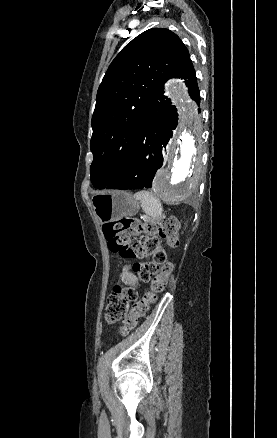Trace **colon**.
<instances>
[{
  "mask_svg": "<svg viewBox=\"0 0 277 438\" xmlns=\"http://www.w3.org/2000/svg\"><path fill=\"white\" fill-rule=\"evenodd\" d=\"M109 249L124 258L151 257L152 260L134 265L133 273L143 281L152 277L151 290L137 301V288L134 285H119L106 304L105 318L109 323L124 319L120 333L132 331L139 319L145 315L157 294L164 291L173 265L167 260V252L160 240L174 247L179 241V222L175 218L161 221L138 220L129 215L119 222H109L103 226ZM130 233L135 236L131 237Z\"/></svg>",
  "mask_w": 277,
  "mask_h": 438,
  "instance_id": "1",
  "label": "colon"
}]
</instances>
